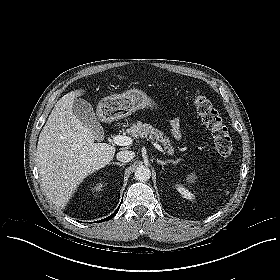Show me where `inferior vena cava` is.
<instances>
[{"label":"inferior vena cava","instance_id":"602c4592","mask_svg":"<svg viewBox=\"0 0 280 280\" xmlns=\"http://www.w3.org/2000/svg\"><path fill=\"white\" fill-rule=\"evenodd\" d=\"M117 160L123 162V163H127L129 161H131L134 157H135V153L133 151H120L117 153Z\"/></svg>","mask_w":280,"mask_h":280}]
</instances>
